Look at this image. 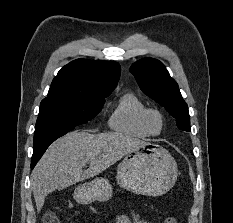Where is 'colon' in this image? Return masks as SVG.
<instances>
[{
  "label": "colon",
  "mask_w": 233,
  "mask_h": 223,
  "mask_svg": "<svg viewBox=\"0 0 233 223\" xmlns=\"http://www.w3.org/2000/svg\"><path fill=\"white\" fill-rule=\"evenodd\" d=\"M44 223H60V220L53 212H47ZM163 223H177V220L173 216H167Z\"/></svg>",
  "instance_id": "1"
}]
</instances>
